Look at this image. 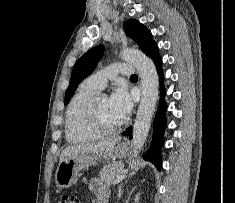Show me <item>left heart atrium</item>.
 Instances as JSON below:
<instances>
[{
    "label": "left heart atrium",
    "mask_w": 235,
    "mask_h": 203,
    "mask_svg": "<svg viewBox=\"0 0 235 203\" xmlns=\"http://www.w3.org/2000/svg\"><path fill=\"white\" fill-rule=\"evenodd\" d=\"M110 107L113 112L124 121L131 109L132 101L128 91L124 87H117L109 99Z\"/></svg>",
    "instance_id": "39dd6f15"
}]
</instances>
